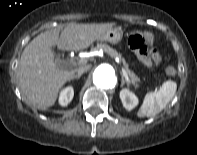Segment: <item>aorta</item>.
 <instances>
[{
	"instance_id": "1",
	"label": "aorta",
	"mask_w": 197,
	"mask_h": 155,
	"mask_svg": "<svg viewBox=\"0 0 197 155\" xmlns=\"http://www.w3.org/2000/svg\"><path fill=\"white\" fill-rule=\"evenodd\" d=\"M94 84L101 89H112L117 83L114 68L107 63L100 64L93 73Z\"/></svg>"
}]
</instances>
